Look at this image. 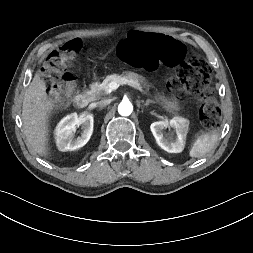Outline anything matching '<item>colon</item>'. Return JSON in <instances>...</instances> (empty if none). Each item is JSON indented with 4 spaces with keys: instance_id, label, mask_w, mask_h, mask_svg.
<instances>
[{
    "instance_id": "1",
    "label": "colon",
    "mask_w": 253,
    "mask_h": 253,
    "mask_svg": "<svg viewBox=\"0 0 253 253\" xmlns=\"http://www.w3.org/2000/svg\"><path fill=\"white\" fill-rule=\"evenodd\" d=\"M84 49L80 41L73 40L46 57L41 76L48 94L61 99L74 90V76L65 68L73 64ZM156 50L168 64L176 66V73L168 80L166 88L177 96L197 94L201 121L206 127L215 128L221 110L216 98L207 90L211 69L203 58L188 51L180 41L160 35L132 33L118 47L126 63L146 69L153 68L152 55Z\"/></svg>"
}]
</instances>
